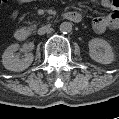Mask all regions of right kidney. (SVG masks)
Segmentation results:
<instances>
[{"label": "right kidney", "mask_w": 119, "mask_h": 119, "mask_svg": "<svg viewBox=\"0 0 119 119\" xmlns=\"http://www.w3.org/2000/svg\"><path fill=\"white\" fill-rule=\"evenodd\" d=\"M18 48V44H12L3 53L2 63L7 70L20 72L27 69L33 62L34 56L32 53H25V57L15 56L14 52Z\"/></svg>", "instance_id": "ca27d5eb"}]
</instances>
